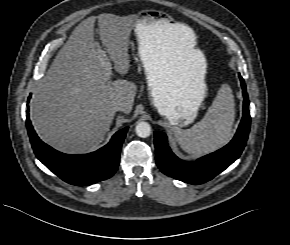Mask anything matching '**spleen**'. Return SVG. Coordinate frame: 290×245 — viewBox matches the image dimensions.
I'll list each match as a JSON object with an SVG mask.
<instances>
[{
  "label": "spleen",
  "instance_id": "3e777b00",
  "mask_svg": "<svg viewBox=\"0 0 290 245\" xmlns=\"http://www.w3.org/2000/svg\"><path fill=\"white\" fill-rule=\"evenodd\" d=\"M234 106L232 90L229 85L223 84L201 121L190 129L173 128L179 146L194 156L208 154L224 146L231 137Z\"/></svg>",
  "mask_w": 290,
  "mask_h": 245
}]
</instances>
